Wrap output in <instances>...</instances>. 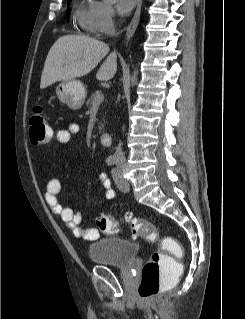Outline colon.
I'll use <instances>...</instances> for the list:
<instances>
[{
  "instance_id": "1",
  "label": "colon",
  "mask_w": 245,
  "mask_h": 319,
  "mask_svg": "<svg viewBox=\"0 0 245 319\" xmlns=\"http://www.w3.org/2000/svg\"><path fill=\"white\" fill-rule=\"evenodd\" d=\"M43 108L37 106L29 120V134L33 145L43 146L52 140V131L44 118ZM130 224L134 236H142L149 242L159 239L158 228L147 219L130 212L124 216ZM98 228L105 233H116L118 222L110 215H101L97 220ZM161 249L154 252L142 269V280L138 288L144 301L155 298L166 285L172 283L182 272V267L176 264L171 256L181 257L183 248L173 237H165L160 241Z\"/></svg>"
}]
</instances>
